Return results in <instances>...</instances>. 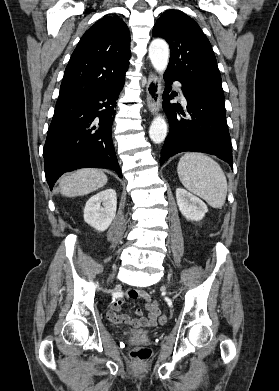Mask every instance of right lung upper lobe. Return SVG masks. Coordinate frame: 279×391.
Listing matches in <instances>:
<instances>
[{"mask_svg":"<svg viewBox=\"0 0 279 391\" xmlns=\"http://www.w3.org/2000/svg\"><path fill=\"white\" fill-rule=\"evenodd\" d=\"M130 33L118 17L98 20L80 39L65 69L57 102L88 96L124 81Z\"/></svg>","mask_w":279,"mask_h":391,"instance_id":"cb5924a9","label":"right lung upper lobe"}]
</instances>
